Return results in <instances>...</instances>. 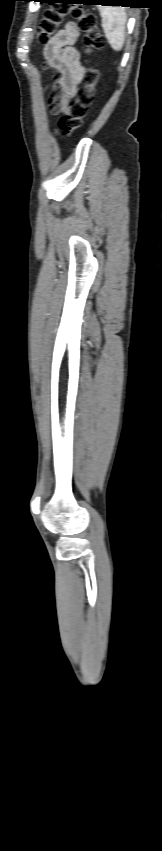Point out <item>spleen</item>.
<instances>
[{"instance_id":"spleen-1","label":"spleen","mask_w":162,"mask_h":851,"mask_svg":"<svg viewBox=\"0 0 162 851\" xmlns=\"http://www.w3.org/2000/svg\"><path fill=\"white\" fill-rule=\"evenodd\" d=\"M102 17V27L110 46L115 51L123 48L125 41L126 12L121 7H98Z\"/></svg>"}]
</instances>
